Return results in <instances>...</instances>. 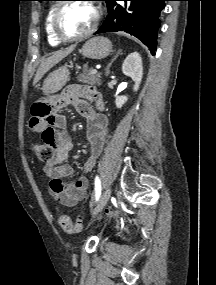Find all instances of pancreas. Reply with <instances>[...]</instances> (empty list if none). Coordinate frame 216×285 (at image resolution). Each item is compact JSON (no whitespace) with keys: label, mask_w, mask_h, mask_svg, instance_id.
<instances>
[{"label":"pancreas","mask_w":216,"mask_h":285,"mask_svg":"<svg viewBox=\"0 0 216 285\" xmlns=\"http://www.w3.org/2000/svg\"><path fill=\"white\" fill-rule=\"evenodd\" d=\"M92 69L85 68L83 73L77 76V81L87 84H101V73L91 74Z\"/></svg>","instance_id":"cf45deb5"}]
</instances>
